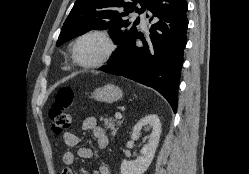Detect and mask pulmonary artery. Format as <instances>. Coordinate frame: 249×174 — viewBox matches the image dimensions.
<instances>
[{
    "label": "pulmonary artery",
    "mask_w": 249,
    "mask_h": 174,
    "mask_svg": "<svg viewBox=\"0 0 249 174\" xmlns=\"http://www.w3.org/2000/svg\"><path fill=\"white\" fill-rule=\"evenodd\" d=\"M134 17L138 18L140 21V24L143 28H146L147 25V17L145 12H136L134 13Z\"/></svg>",
    "instance_id": "1"
}]
</instances>
